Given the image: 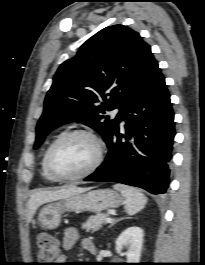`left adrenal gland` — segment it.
<instances>
[{
    "label": "left adrenal gland",
    "mask_w": 205,
    "mask_h": 265,
    "mask_svg": "<svg viewBox=\"0 0 205 265\" xmlns=\"http://www.w3.org/2000/svg\"><path fill=\"white\" fill-rule=\"evenodd\" d=\"M119 220H121V219H119ZM117 221H118V220H116L115 222H117ZM115 222H114V223H115ZM114 223H113V224H114Z\"/></svg>",
    "instance_id": "left-adrenal-gland-1"
}]
</instances>
